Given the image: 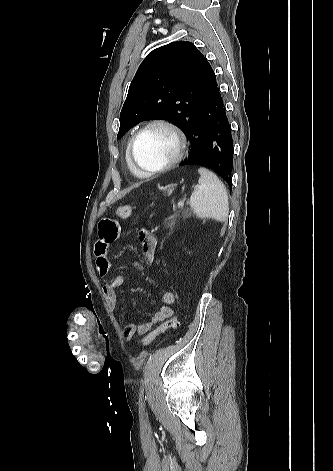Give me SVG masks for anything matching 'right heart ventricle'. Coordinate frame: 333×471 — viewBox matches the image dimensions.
I'll return each mask as SVG.
<instances>
[{"label": "right heart ventricle", "mask_w": 333, "mask_h": 471, "mask_svg": "<svg viewBox=\"0 0 333 471\" xmlns=\"http://www.w3.org/2000/svg\"><path fill=\"white\" fill-rule=\"evenodd\" d=\"M126 160H127V165H128V168L130 169V171L135 174L136 176L138 177H145L144 175H142L141 173H139L137 170H135L133 168V166L131 165L130 161H129V158H128V151H127V155H126Z\"/></svg>", "instance_id": "1"}]
</instances>
